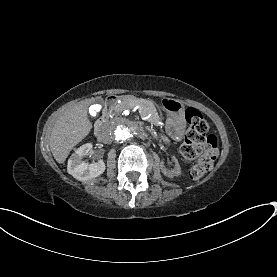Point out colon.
Segmentation results:
<instances>
[{"mask_svg": "<svg viewBox=\"0 0 277 277\" xmlns=\"http://www.w3.org/2000/svg\"><path fill=\"white\" fill-rule=\"evenodd\" d=\"M187 122V135L180 147V154L184 162L194 161L190 170L194 179H199L206 174L215 160L217 138L208 135V122L202 113L189 108L185 111Z\"/></svg>", "mask_w": 277, "mask_h": 277, "instance_id": "obj_1", "label": "colon"}]
</instances>
